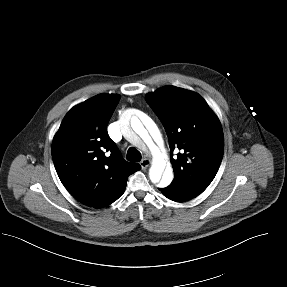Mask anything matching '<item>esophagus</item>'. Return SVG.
I'll return each mask as SVG.
<instances>
[{"mask_svg": "<svg viewBox=\"0 0 287 287\" xmlns=\"http://www.w3.org/2000/svg\"><path fill=\"white\" fill-rule=\"evenodd\" d=\"M150 164H151V161L148 158H144L140 162V165H141L142 169H146Z\"/></svg>", "mask_w": 287, "mask_h": 287, "instance_id": "obj_1", "label": "esophagus"}]
</instances>
